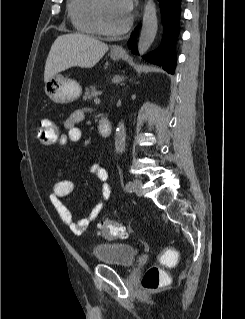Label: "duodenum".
<instances>
[{
    "mask_svg": "<svg viewBox=\"0 0 245 319\" xmlns=\"http://www.w3.org/2000/svg\"><path fill=\"white\" fill-rule=\"evenodd\" d=\"M99 133L102 137H108L112 133V124L107 117H101L98 123Z\"/></svg>",
    "mask_w": 245,
    "mask_h": 319,
    "instance_id": "1",
    "label": "duodenum"
}]
</instances>
